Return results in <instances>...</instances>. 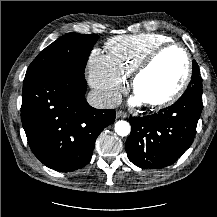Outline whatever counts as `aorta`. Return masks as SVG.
Returning <instances> with one entry per match:
<instances>
[{"label":"aorta","instance_id":"1","mask_svg":"<svg viewBox=\"0 0 217 217\" xmlns=\"http://www.w3.org/2000/svg\"><path fill=\"white\" fill-rule=\"evenodd\" d=\"M114 129L115 132L122 137L129 135L131 131L130 124L123 120L116 122Z\"/></svg>","mask_w":217,"mask_h":217}]
</instances>
